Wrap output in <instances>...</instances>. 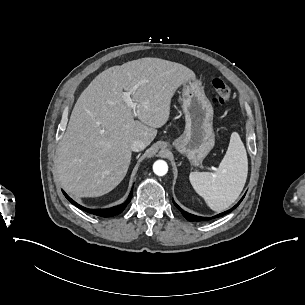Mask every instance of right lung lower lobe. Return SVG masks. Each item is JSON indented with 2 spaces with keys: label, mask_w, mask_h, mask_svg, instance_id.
Segmentation results:
<instances>
[{
  "label": "right lung lower lobe",
  "mask_w": 305,
  "mask_h": 305,
  "mask_svg": "<svg viewBox=\"0 0 305 305\" xmlns=\"http://www.w3.org/2000/svg\"><path fill=\"white\" fill-rule=\"evenodd\" d=\"M64 195L66 196V198L74 205H76L77 207L83 209L84 211H87L89 213L98 215V216H102V217H111V216H115L120 214L121 212H123V210L126 208V206L128 205V203L131 200L132 197V191L128 197V199L121 205L109 208V209H98V210H93V209H87L85 207L80 206L79 204H77L76 202H74L65 192H63Z\"/></svg>",
  "instance_id": "98d812e1"
}]
</instances>
